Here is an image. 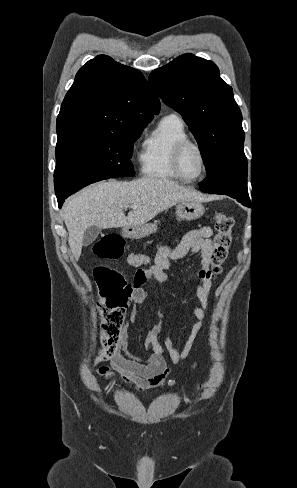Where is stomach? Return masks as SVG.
Segmentation results:
<instances>
[{"label":"stomach","instance_id":"obj_1","mask_svg":"<svg viewBox=\"0 0 297 488\" xmlns=\"http://www.w3.org/2000/svg\"><path fill=\"white\" fill-rule=\"evenodd\" d=\"M204 205L197 200L180 202L176 208V218L178 220H196L203 216ZM155 223H145L139 226H127L122 229V234L126 238H144L157 231Z\"/></svg>","mask_w":297,"mask_h":488}]
</instances>
